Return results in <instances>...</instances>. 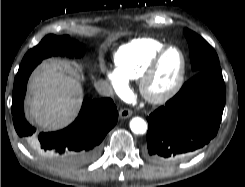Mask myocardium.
Masks as SVG:
<instances>
[{"label": "myocardium", "mask_w": 245, "mask_h": 187, "mask_svg": "<svg viewBox=\"0 0 245 187\" xmlns=\"http://www.w3.org/2000/svg\"><path fill=\"white\" fill-rule=\"evenodd\" d=\"M171 50L177 51L180 56L181 65H180L179 72L175 80L173 81V83L167 89L157 93L153 92L151 90V84L155 79L156 75L158 74L161 61L163 60L165 55ZM185 74H186V57L184 52L175 45L165 46L157 53V55L154 57L149 67L140 77L139 79L140 93L143 96V98L149 103L157 104V105L164 104L169 100H171L180 91L184 83Z\"/></svg>", "instance_id": "obj_1"}]
</instances>
